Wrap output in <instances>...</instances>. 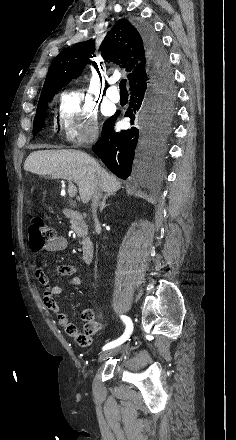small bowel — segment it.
<instances>
[{"label": "small bowel", "mask_w": 236, "mask_h": 440, "mask_svg": "<svg viewBox=\"0 0 236 440\" xmlns=\"http://www.w3.org/2000/svg\"><path fill=\"white\" fill-rule=\"evenodd\" d=\"M68 246V238L66 236H56L53 240L45 245L44 248L38 250V255L43 252H59L63 251ZM35 276L39 283L44 286L45 292L43 294V304L46 309L50 310L58 320L59 325L65 328L66 333L75 337L77 343L81 346H88L92 342L93 334L99 329L100 323L94 321V311L87 307L82 312V319L79 331L76 326L68 321L67 316L61 311L59 304L55 301L54 296L61 294L62 287L52 284L49 276L43 268L36 267L34 270ZM59 276H67L69 280L67 284L72 287L80 286L82 280L76 275V268L70 264L60 265L56 269Z\"/></svg>", "instance_id": "c3829d8e"}]
</instances>
